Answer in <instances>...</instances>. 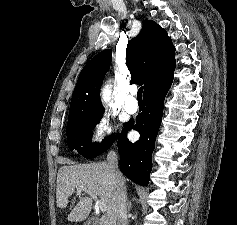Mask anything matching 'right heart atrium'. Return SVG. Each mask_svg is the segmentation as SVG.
<instances>
[{
	"label": "right heart atrium",
	"mask_w": 237,
	"mask_h": 225,
	"mask_svg": "<svg viewBox=\"0 0 237 225\" xmlns=\"http://www.w3.org/2000/svg\"><path fill=\"white\" fill-rule=\"evenodd\" d=\"M114 132V126L109 119L99 117L92 123L88 139L91 145H99L107 141Z\"/></svg>",
	"instance_id": "1"
}]
</instances>
